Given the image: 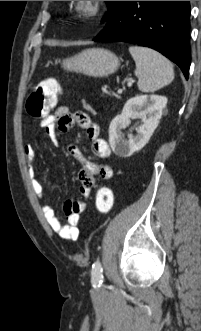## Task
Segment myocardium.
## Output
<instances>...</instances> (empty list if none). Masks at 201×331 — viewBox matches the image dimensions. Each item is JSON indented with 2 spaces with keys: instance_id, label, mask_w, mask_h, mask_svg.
<instances>
[{
  "instance_id": "1",
  "label": "myocardium",
  "mask_w": 201,
  "mask_h": 331,
  "mask_svg": "<svg viewBox=\"0 0 201 331\" xmlns=\"http://www.w3.org/2000/svg\"><path fill=\"white\" fill-rule=\"evenodd\" d=\"M76 10L83 16L92 17L101 10V1H76Z\"/></svg>"
}]
</instances>
